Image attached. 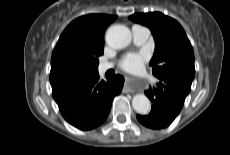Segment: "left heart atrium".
Listing matches in <instances>:
<instances>
[{
  "instance_id": "obj_1",
  "label": "left heart atrium",
  "mask_w": 230,
  "mask_h": 155,
  "mask_svg": "<svg viewBox=\"0 0 230 155\" xmlns=\"http://www.w3.org/2000/svg\"><path fill=\"white\" fill-rule=\"evenodd\" d=\"M146 59L147 56L144 53H128L121 58L119 66L128 72L137 71L142 67Z\"/></svg>"
}]
</instances>
